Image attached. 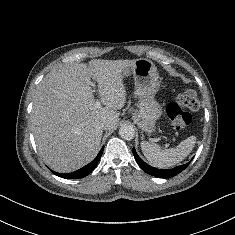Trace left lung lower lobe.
<instances>
[{"label":"left lung lower lobe","instance_id":"obj_1","mask_svg":"<svg viewBox=\"0 0 235 235\" xmlns=\"http://www.w3.org/2000/svg\"><path fill=\"white\" fill-rule=\"evenodd\" d=\"M133 155L135 157V160L137 161L138 165L148 174L155 176V177H160V178H169V177H173L175 175H177L178 173H180L181 171H183L185 168H187V166L190 164V162H188L187 164L181 165V166H177L173 169H157L154 168L148 164H146L136 153L135 148H133Z\"/></svg>","mask_w":235,"mask_h":235}]
</instances>
